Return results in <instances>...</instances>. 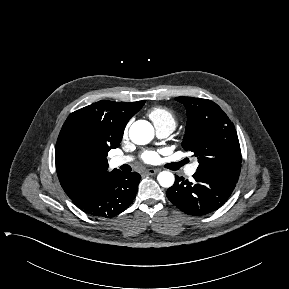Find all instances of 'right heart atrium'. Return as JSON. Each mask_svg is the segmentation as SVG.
<instances>
[{"instance_id":"right-heart-atrium-1","label":"right heart atrium","mask_w":289,"mask_h":289,"mask_svg":"<svg viewBox=\"0 0 289 289\" xmlns=\"http://www.w3.org/2000/svg\"><path fill=\"white\" fill-rule=\"evenodd\" d=\"M127 130H128V127H126V129H125V131H124L125 134H127Z\"/></svg>"}]
</instances>
